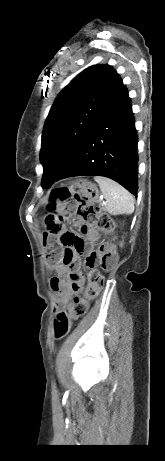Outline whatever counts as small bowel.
I'll use <instances>...</instances> for the list:
<instances>
[{"label":"small bowel","mask_w":165,"mask_h":461,"mask_svg":"<svg viewBox=\"0 0 165 461\" xmlns=\"http://www.w3.org/2000/svg\"><path fill=\"white\" fill-rule=\"evenodd\" d=\"M81 224L80 220L75 221ZM99 239L95 225H74L73 229H60L58 248L60 263L55 267L56 276L51 279V288L57 293V305H66L74 293L82 291L84 276L80 272L79 254L93 253L94 244ZM87 256V257H88Z\"/></svg>","instance_id":"c3829d8e"}]
</instances>
